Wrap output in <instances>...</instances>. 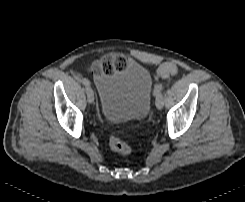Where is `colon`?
<instances>
[{
    "mask_svg": "<svg viewBox=\"0 0 245 202\" xmlns=\"http://www.w3.org/2000/svg\"><path fill=\"white\" fill-rule=\"evenodd\" d=\"M126 58L122 55L118 56H109L97 63L99 69L104 72L111 73L119 69L125 68L126 65ZM177 71V63L172 61L162 65L158 70V76L160 78L169 77ZM110 148L123 155H127L131 152L130 145L120 136L114 134L109 139Z\"/></svg>",
    "mask_w": 245,
    "mask_h": 202,
    "instance_id": "1",
    "label": "colon"
}]
</instances>
